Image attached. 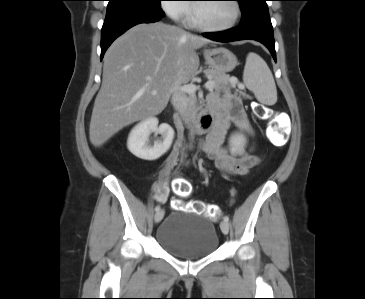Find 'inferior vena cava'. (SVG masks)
I'll use <instances>...</instances> for the list:
<instances>
[{
	"mask_svg": "<svg viewBox=\"0 0 365 299\" xmlns=\"http://www.w3.org/2000/svg\"><path fill=\"white\" fill-rule=\"evenodd\" d=\"M172 102L175 108L178 109L180 112L185 111L186 99L184 95H182L177 88L173 92Z\"/></svg>",
	"mask_w": 365,
	"mask_h": 299,
	"instance_id": "inferior-vena-cava-1",
	"label": "inferior vena cava"
}]
</instances>
